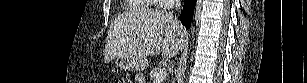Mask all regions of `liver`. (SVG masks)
Wrapping results in <instances>:
<instances>
[{
    "label": "liver",
    "mask_w": 307,
    "mask_h": 83,
    "mask_svg": "<svg viewBox=\"0 0 307 83\" xmlns=\"http://www.w3.org/2000/svg\"><path fill=\"white\" fill-rule=\"evenodd\" d=\"M187 44V32L167 12L138 10L126 13L111 24L105 44L104 61L118 56L145 58L161 54L169 59Z\"/></svg>",
    "instance_id": "liver-1"
}]
</instances>
